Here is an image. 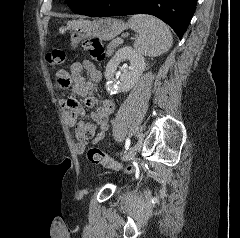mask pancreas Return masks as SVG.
Instances as JSON below:
<instances>
[{
  "mask_svg": "<svg viewBox=\"0 0 240 238\" xmlns=\"http://www.w3.org/2000/svg\"><path fill=\"white\" fill-rule=\"evenodd\" d=\"M120 44L121 43L118 41V39L112 40L107 46L106 55L111 56L113 54L114 48L118 47Z\"/></svg>",
  "mask_w": 240,
  "mask_h": 238,
  "instance_id": "cf45deb5",
  "label": "pancreas"
}]
</instances>
